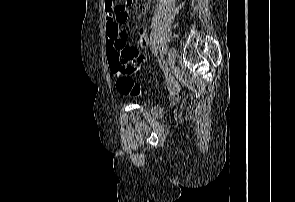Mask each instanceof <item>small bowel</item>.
I'll return each instance as SVG.
<instances>
[{
	"mask_svg": "<svg viewBox=\"0 0 295 202\" xmlns=\"http://www.w3.org/2000/svg\"><path fill=\"white\" fill-rule=\"evenodd\" d=\"M105 24H106V49L110 68L116 63H127L132 72L140 69L146 61V57L140 49L148 46L149 37L147 24L142 23L137 29V47L129 46L126 43V33L121 30V25L128 19V11L125 6L115 3V0H105ZM148 4L141 3L139 10L147 14Z\"/></svg>",
	"mask_w": 295,
	"mask_h": 202,
	"instance_id": "small-bowel-1",
	"label": "small bowel"
}]
</instances>
